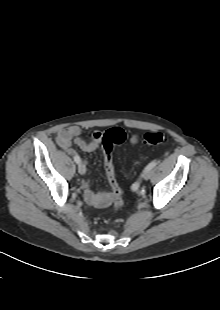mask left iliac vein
Returning <instances> with one entry per match:
<instances>
[{
  "label": "left iliac vein",
  "mask_w": 220,
  "mask_h": 310,
  "mask_svg": "<svg viewBox=\"0 0 220 310\" xmlns=\"http://www.w3.org/2000/svg\"><path fill=\"white\" fill-rule=\"evenodd\" d=\"M150 176H151V174L148 172V173H146V174L143 176V178H144L145 180H148V179L150 178Z\"/></svg>",
  "instance_id": "left-iliac-vein-1"
}]
</instances>
